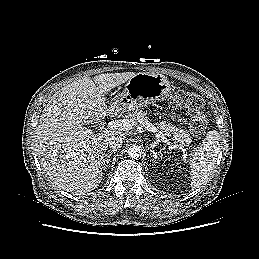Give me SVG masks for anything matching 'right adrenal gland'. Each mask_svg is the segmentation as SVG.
I'll return each mask as SVG.
<instances>
[{"label":"right adrenal gland","mask_w":259,"mask_h":259,"mask_svg":"<svg viewBox=\"0 0 259 259\" xmlns=\"http://www.w3.org/2000/svg\"><path fill=\"white\" fill-rule=\"evenodd\" d=\"M116 151V149H113V150H109L106 155H105V158L103 159V170L106 171L107 170V167L109 166V163H110V157L111 155Z\"/></svg>","instance_id":"obj_1"}]
</instances>
